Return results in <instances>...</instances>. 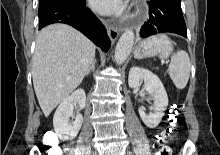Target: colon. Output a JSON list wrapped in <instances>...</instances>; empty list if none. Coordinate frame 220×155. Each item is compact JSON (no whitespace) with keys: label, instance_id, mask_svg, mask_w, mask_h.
Listing matches in <instances>:
<instances>
[{"label":"colon","instance_id":"5ec220e1","mask_svg":"<svg viewBox=\"0 0 220 155\" xmlns=\"http://www.w3.org/2000/svg\"><path fill=\"white\" fill-rule=\"evenodd\" d=\"M179 124V112L177 108L172 107L165 118V133H158V137L155 138L156 144H150V149H158L157 155H170L171 148V133L176 130ZM49 151H55L58 148L57 144L46 145ZM49 155H56L55 152H50Z\"/></svg>","mask_w":220,"mask_h":155}]
</instances>
